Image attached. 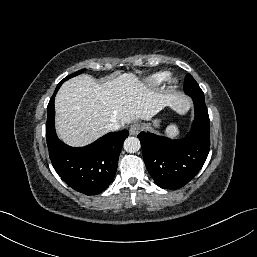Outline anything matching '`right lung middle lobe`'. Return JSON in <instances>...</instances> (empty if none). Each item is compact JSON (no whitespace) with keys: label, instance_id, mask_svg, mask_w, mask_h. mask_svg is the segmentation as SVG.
<instances>
[{"label":"right lung middle lobe","instance_id":"obj_1","mask_svg":"<svg viewBox=\"0 0 257 257\" xmlns=\"http://www.w3.org/2000/svg\"><path fill=\"white\" fill-rule=\"evenodd\" d=\"M82 71H83V70H79V71H77V72H75V73H73V74L67 76L66 78H64V79L58 84V86H60L64 81H66V80H68V79H70V78H72V77H74V76H76V75L81 74Z\"/></svg>","mask_w":257,"mask_h":257}]
</instances>
